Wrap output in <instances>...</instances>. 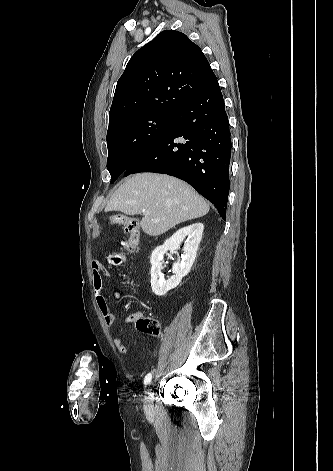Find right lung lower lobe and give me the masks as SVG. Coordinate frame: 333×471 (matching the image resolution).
<instances>
[{
	"mask_svg": "<svg viewBox=\"0 0 333 471\" xmlns=\"http://www.w3.org/2000/svg\"><path fill=\"white\" fill-rule=\"evenodd\" d=\"M218 81L185 103L173 123L126 169L163 173L188 182L226 220L231 138Z\"/></svg>",
	"mask_w": 333,
	"mask_h": 471,
	"instance_id": "1",
	"label": "right lung lower lobe"
}]
</instances>
